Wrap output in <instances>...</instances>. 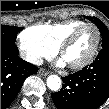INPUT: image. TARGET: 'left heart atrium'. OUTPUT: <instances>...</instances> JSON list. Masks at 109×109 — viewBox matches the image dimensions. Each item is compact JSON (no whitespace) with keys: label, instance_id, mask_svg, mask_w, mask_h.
I'll list each match as a JSON object with an SVG mask.
<instances>
[{"label":"left heart atrium","instance_id":"39dd6f15","mask_svg":"<svg viewBox=\"0 0 109 109\" xmlns=\"http://www.w3.org/2000/svg\"><path fill=\"white\" fill-rule=\"evenodd\" d=\"M59 65L60 66L64 65V60L59 61Z\"/></svg>","mask_w":109,"mask_h":109}]
</instances>
